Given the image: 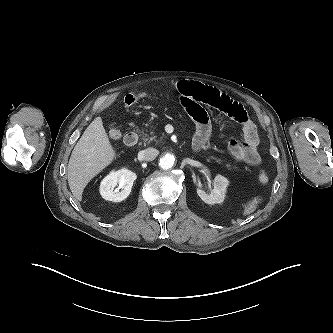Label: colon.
Masks as SVG:
<instances>
[{
    "instance_id": "1",
    "label": "colon",
    "mask_w": 333,
    "mask_h": 333,
    "mask_svg": "<svg viewBox=\"0 0 333 333\" xmlns=\"http://www.w3.org/2000/svg\"><path fill=\"white\" fill-rule=\"evenodd\" d=\"M148 94L145 92L137 93V94H128L124 98V104L126 107H132L134 106L140 99L146 97ZM109 136L112 139H119L121 137V131L115 126L111 125L109 127ZM258 180L262 184H266L269 182V177L265 172H261L258 176Z\"/></svg>"
}]
</instances>
